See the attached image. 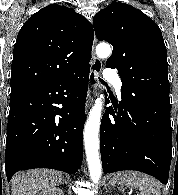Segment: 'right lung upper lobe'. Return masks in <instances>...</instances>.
<instances>
[{
	"label": "right lung upper lobe",
	"instance_id": "cb5924a9",
	"mask_svg": "<svg viewBox=\"0 0 178 195\" xmlns=\"http://www.w3.org/2000/svg\"><path fill=\"white\" fill-rule=\"evenodd\" d=\"M94 30L73 8L51 4L22 26L14 45L11 91L59 82L90 67Z\"/></svg>",
	"mask_w": 178,
	"mask_h": 195
}]
</instances>
